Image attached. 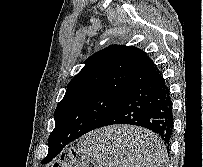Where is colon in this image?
<instances>
[{"mask_svg":"<svg viewBox=\"0 0 203 167\" xmlns=\"http://www.w3.org/2000/svg\"><path fill=\"white\" fill-rule=\"evenodd\" d=\"M52 167H98L93 161L78 154L75 150H68L62 154L59 161Z\"/></svg>","mask_w":203,"mask_h":167,"instance_id":"colon-1","label":"colon"}]
</instances>
